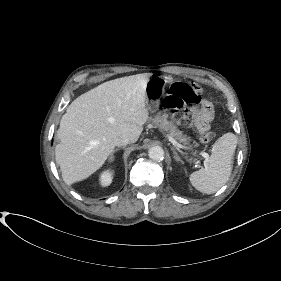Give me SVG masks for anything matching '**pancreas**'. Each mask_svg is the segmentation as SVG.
Returning <instances> with one entry per match:
<instances>
[{
    "label": "pancreas",
    "mask_w": 281,
    "mask_h": 281,
    "mask_svg": "<svg viewBox=\"0 0 281 281\" xmlns=\"http://www.w3.org/2000/svg\"><path fill=\"white\" fill-rule=\"evenodd\" d=\"M167 118L168 115L166 113L159 112L154 117H150L149 121L155 127L167 132L176 141L184 143L191 148L192 146L190 145V137L184 135L182 131H180L172 121H168Z\"/></svg>",
    "instance_id": "obj_1"
}]
</instances>
